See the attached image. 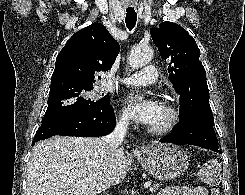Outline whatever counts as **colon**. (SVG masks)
<instances>
[{"mask_svg": "<svg viewBox=\"0 0 245 195\" xmlns=\"http://www.w3.org/2000/svg\"><path fill=\"white\" fill-rule=\"evenodd\" d=\"M200 177L205 183L211 186L217 185L220 181V167L218 161L216 159H209L201 170Z\"/></svg>", "mask_w": 245, "mask_h": 195, "instance_id": "obj_1", "label": "colon"}]
</instances>
